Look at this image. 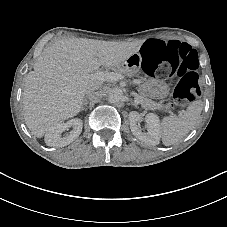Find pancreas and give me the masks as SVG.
Returning <instances> with one entry per match:
<instances>
[{
  "label": "pancreas",
  "mask_w": 227,
  "mask_h": 227,
  "mask_svg": "<svg viewBox=\"0 0 227 227\" xmlns=\"http://www.w3.org/2000/svg\"><path fill=\"white\" fill-rule=\"evenodd\" d=\"M116 71L119 72V73H122L123 75H125V77H133V74L128 73L125 69L120 68L119 66L116 67ZM135 82L138 84V86H142L143 81H142L141 78H137L135 80ZM138 91L140 92L141 88H139ZM139 98H140V101H141V106L143 108L156 109L158 107V104L155 101L149 99L143 93L140 94Z\"/></svg>",
  "instance_id": "obj_1"
}]
</instances>
